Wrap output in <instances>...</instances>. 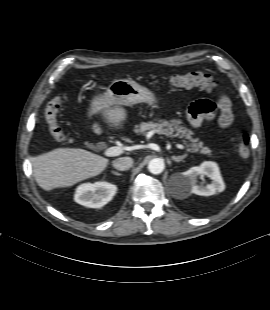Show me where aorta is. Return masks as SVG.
<instances>
[{"label":"aorta","mask_w":270,"mask_h":310,"mask_svg":"<svg viewBox=\"0 0 270 310\" xmlns=\"http://www.w3.org/2000/svg\"><path fill=\"white\" fill-rule=\"evenodd\" d=\"M164 167V162L159 158L152 159L148 163L149 172L155 175L162 173Z\"/></svg>","instance_id":"aorta-1"}]
</instances>
